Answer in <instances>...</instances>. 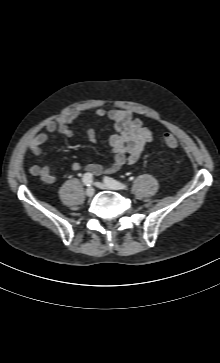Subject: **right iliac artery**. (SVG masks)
Wrapping results in <instances>:
<instances>
[{
    "label": "right iliac artery",
    "instance_id": "right-iliac-artery-1",
    "mask_svg": "<svg viewBox=\"0 0 220 363\" xmlns=\"http://www.w3.org/2000/svg\"><path fill=\"white\" fill-rule=\"evenodd\" d=\"M82 180L86 186H91L93 181V176L91 173H85Z\"/></svg>",
    "mask_w": 220,
    "mask_h": 363
}]
</instances>
